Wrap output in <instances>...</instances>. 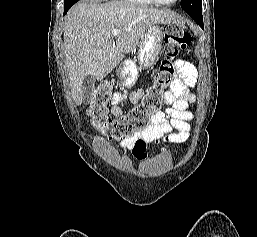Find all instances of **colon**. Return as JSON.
I'll return each mask as SVG.
<instances>
[{"label":"colon","instance_id":"5ec220e1","mask_svg":"<svg viewBox=\"0 0 257 237\" xmlns=\"http://www.w3.org/2000/svg\"><path fill=\"white\" fill-rule=\"evenodd\" d=\"M191 40V34L183 29L166 28L165 59L160 64L155 82L148 88L137 107L117 119H111L109 116V105L115 98L114 84L108 80L101 82L90 100L88 114L91 125L110 140L132 137L144 130L150 118L157 114L162 106L163 90L174 71L172 60L187 50Z\"/></svg>","mask_w":257,"mask_h":237}]
</instances>
